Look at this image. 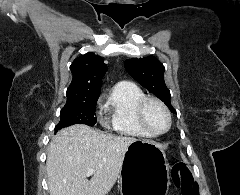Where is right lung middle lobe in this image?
<instances>
[{
    "mask_svg": "<svg viewBox=\"0 0 240 195\" xmlns=\"http://www.w3.org/2000/svg\"><path fill=\"white\" fill-rule=\"evenodd\" d=\"M97 100L98 97L67 99V103L61 109L60 122L56 126V131L74 124L89 126L96 124L95 108Z\"/></svg>",
    "mask_w": 240,
    "mask_h": 195,
    "instance_id": "obj_1",
    "label": "right lung middle lobe"
}]
</instances>
